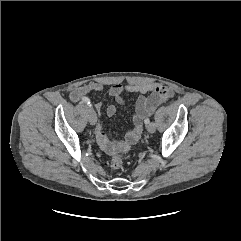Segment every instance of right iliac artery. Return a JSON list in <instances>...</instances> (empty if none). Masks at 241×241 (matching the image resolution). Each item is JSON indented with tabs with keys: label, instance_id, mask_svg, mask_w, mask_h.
<instances>
[{
	"label": "right iliac artery",
	"instance_id": "82829eb1",
	"mask_svg": "<svg viewBox=\"0 0 241 241\" xmlns=\"http://www.w3.org/2000/svg\"><path fill=\"white\" fill-rule=\"evenodd\" d=\"M82 101L91 107V102H90L89 98L84 97V98L82 99Z\"/></svg>",
	"mask_w": 241,
	"mask_h": 241
}]
</instances>
